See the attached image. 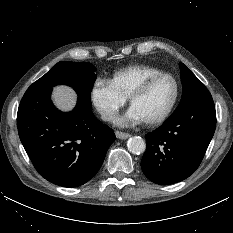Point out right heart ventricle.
Returning a JSON list of instances; mask_svg holds the SVG:
<instances>
[{"label": "right heart ventricle", "mask_w": 233, "mask_h": 233, "mask_svg": "<svg viewBox=\"0 0 233 233\" xmlns=\"http://www.w3.org/2000/svg\"><path fill=\"white\" fill-rule=\"evenodd\" d=\"M161 72L159 68L150 65H131L116 71L111 82L125 98H128L146 78Z\"/></svg>", "instance_id": "right-heart-ventricle-1"}]
</instances>
